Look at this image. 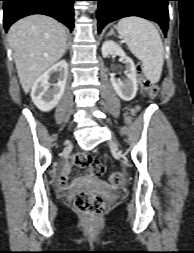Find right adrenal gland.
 Returning <instances> with one entry per match:
<instances>
[{
  "instance_id": "2a0ac1e0",
  "label": "right adrenal gland",
  "mask_w": 194,
  "mask_h": 253,
  "mask_svg": "<svg viewBox=\"0 0 194 253\" xmlns=\"http://www.w3.org/2000/svg\"><path fill=\"white\" fill-rule=\"evenodd\" d=\"M69 46H70V42L68 41V42H67V45H66V50L69 49ZM66 50H65V51H66Z\"/></svg>"
}]
</instances>
